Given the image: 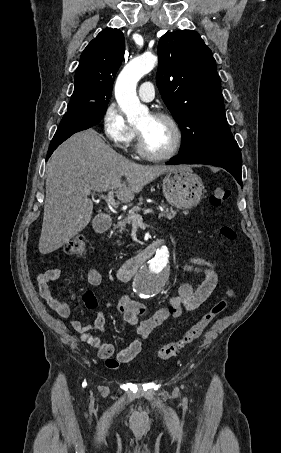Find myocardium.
Here are the masks:
<instances>
[{
	"label": "myocardium",
	"mask_w": 281,
	"mask_h": 453,
	"mask_svg": "<svg viewBox=\"0 0 281 453\" xmlns=\"http://www.w3.org/2000/svg\"><path fill=\"white\" fill-rule=\"evenodd\" d=\"M150 117L155 120L166 122L172 129L174 140L170 149L163 154L152 153L145 147L144 137L140 129L137 128V151L140 156L153 161H164L172 158L178 151L182 141V131L174 118L165 113H151Z\"/></svg>",
	"instance_id": "1"
}]
</instances>
